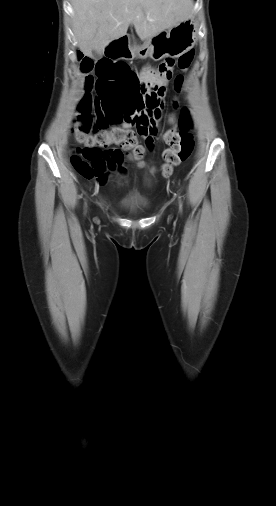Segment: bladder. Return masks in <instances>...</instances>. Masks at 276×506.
<instances>
[{
  "label": "bladder",
  "instance_id": "bladder-1",
  "mask_svg": "<svg viewBox=\"0 0 276 506\" xmlns=\"http://www.w3.org/2000/svg\"><path fill=\"white\" fill-rule=\"evenodd\" d=\"M119 204L121 208L129 212L137 213L145 211L147 200L139 193H130L122 197Z\"/></svg>",
  "mask_w": 276,
  "mask_h": 506
}]
</instances>
